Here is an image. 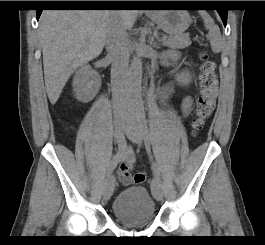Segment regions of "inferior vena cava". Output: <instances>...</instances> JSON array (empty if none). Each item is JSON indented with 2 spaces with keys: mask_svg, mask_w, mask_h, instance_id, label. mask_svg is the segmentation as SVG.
<instances>
[{
  "mask_svg": "<svg viewBox=\"0 0 265 245\" xmlns=\"http://www.w3.org/2000/svg\"><path fill=\"white\" fill-rule=\"evenodd\" d=\"M105 45L108 57L112 60L111 85L114 114L116 116L127 114L131 108L128 91L130 52L127 32L120 14L113 16L106 30Z\"/></svg>",
  "mask_w": 265,
  "mask_h": 245,
  "instance_id": "1",
  "label": "inferior vena cava"
}]
</instances>
